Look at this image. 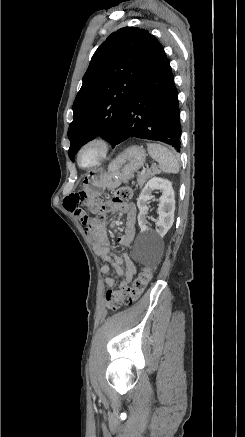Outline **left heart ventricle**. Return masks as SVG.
Here are the masks:
<instances>
[{
    "mask_svg": "<svg viewBox=\"0 0 245 437\" xmlns=\"http://www.w3.org/2000/svg\"><path fill=\"white\" fill-rule=\"evenodd\" d=\"M97 153L98 152L96 148L94 147L87 148L86 150L83 151L81 155V163L83 165H88L92 163L97 157Z\"/></svg>",
    "mask_w": 245,
    "mask_h": 437,
    "instance_id": "b2bd125f",
    "label": "left heart ventricle"
}]
</instances>
